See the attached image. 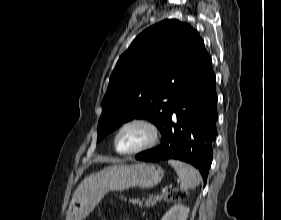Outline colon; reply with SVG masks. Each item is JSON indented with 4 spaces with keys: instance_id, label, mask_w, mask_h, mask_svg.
I'll use <instances>...</instances> for the list:
<instances>
[{
    "instance_id": "1",
    "label": "colon",
    "mask_w": 281,
    "mask_h": 220,
    "mask_svg": "<svg viewBox=\"0 0 281 220\" xmlns=\"http://www.w3.org/2000/svg\"><path fill=\"white\" fill-rule=\"evenodd\" d=\"M168 197L169 199L174 201H181L187 197V194L182 190H173L172 192L169 193Z\"/></svg>"
}]
</instances>
